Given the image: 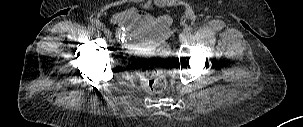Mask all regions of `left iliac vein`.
<instances>
[{
    "instance_id": "1",
    "label": "left iliac vein",
    "mask_w": 303,
    "mask_h": 127,
    "mask_svg": "<svg viewBox=\"0 0 303 127\" xmlns=\"http://www.w3.org/2000/svg\"><path fill=\"white\" fill-rule=\"evenodd\" d=\"M179 41H180V43H185L186 42V38L183 34H180Z\"/></svg>"
}]
</instances>
